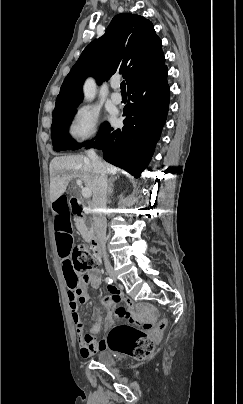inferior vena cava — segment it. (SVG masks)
Returning <instances> with one entry per match:
<instances>
[{"instance_id": "inferior-vena-cava-1", "label": "inferior vena cava", "mask_w": 243, "mask_h": 404, "mask_svg": "<svg viewBox=\"0 0 243 404\" xmlns=\"http://www.w3.org/2000/svg\"><path fill=\"white\" fill-rule=\"evenodd\" d=\"M88 158L92 164L93 174V200H92V214L94 218V228L96 238L99 242L100 250L102 252L103 260L106 262L105 268L108 274L114 273V268L108 262L106 252V194H107V176L104 164L96 156L94 150H88Z\"/></svg>"}]
</instances>
